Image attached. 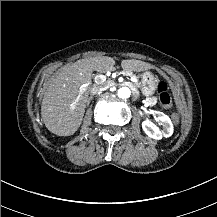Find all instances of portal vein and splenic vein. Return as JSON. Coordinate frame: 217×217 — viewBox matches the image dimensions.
Instances as JSON below:
<instances>
[{"mask_svg":"<svg viewBox=\"0 0 217 217\" xmlns=\"http://www.w3.org/2000/svg\"><path fill=\"white\" fill-rule=\"evenodd\" d=\"M79 97H80V94H79L78 97L76 98V100H75L73 106H75L76 102H78Z\"/></svg>","mask_w":217,"mask_h":217,"instance_id":"obj_1","label":"portal vein and splenic vein"}]
</instances>
